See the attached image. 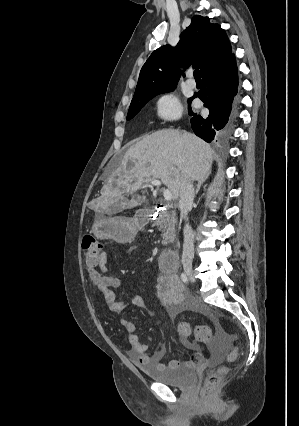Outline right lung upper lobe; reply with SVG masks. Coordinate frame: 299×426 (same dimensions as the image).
Masks as SVG:
<instances>
[{
    "mask_svg": "<svg viewBox=\"0 0 299 426\" xmlns=\"http://www.w3.org/2000/svg\"><path fill=\"white\" fill-rule=\"evenodd\" d=\"M180 37L176 47L165 45L150 55L140 71L133 99L176 87L179 67L195 65L203 77L223 66L232 56L225 31L220 25L210 23L208 17L194 16Z\"/></svg>",
    "mask_w": 299,
    "mask_h": 426,
    "instance_id": "right-lung-upper-lobe-1",
    "label": "right lung upper lobe"
}]
</instances>
